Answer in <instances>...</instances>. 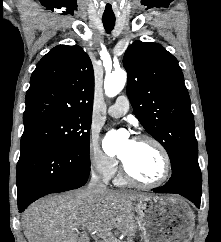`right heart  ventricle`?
<instances>
[{"mask_svg":"<svg viewBox=\"0 0 221 242\" xmlns=\"http://www.w3.org/2000/svg\"><path fill=\"white\" fill-rule=\"evenodd\" d=\"M115 182L118 185H125V184H127V180H126V178L122 174H119L116 177Z\"/></svg>","mask_w":221,"mask_h":242,"instance_id":"right-heart-ventricle-1","label":"right heart ventricle"}]
</instances>
